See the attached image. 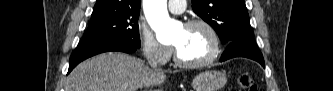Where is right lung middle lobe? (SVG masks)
<instances>
[{
    "mask_svg": "<svg viewBox=\"0 0 333 91\" xmlns=\"http://www.w3.org/2000/svg\"><path fill=\"white\" fill-rule=\"evenodd\" d=\"M139 13L130 11L93 17L81 41L115 40L140 48Z\"/></svg>",
    "mask_w": 333,
    "mask_h": 91,
    "instance_id": "right-lung-middle-lobe-1",
    "label": "right lung middle lobe"
}]
</instances>
